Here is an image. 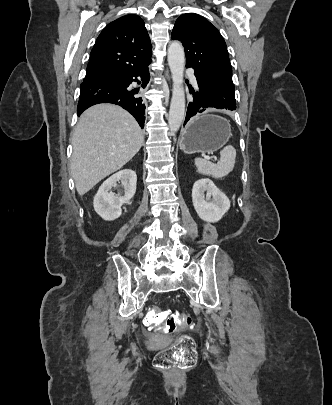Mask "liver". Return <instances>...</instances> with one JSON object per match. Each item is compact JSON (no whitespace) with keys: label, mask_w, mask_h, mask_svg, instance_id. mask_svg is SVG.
<instances>
[{"label":"liver","mask_w":332,"mask_h":405,"mask_svg":"<svg viewBox=\"0 0 332 405\" xmlns=\"http://www.w3.org/2000/svg\"><path fill=\"white\" fill-rule=\"evenodd\" d=\"M143 143V131L126 110L112 104L88 108L72 134L70 169L78 194L84 195L121 169Z\"/></svg>","instance_id":"liver-1"}]
</instances>
